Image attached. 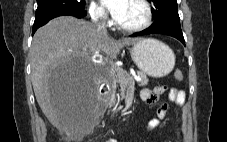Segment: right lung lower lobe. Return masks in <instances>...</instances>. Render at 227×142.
I'll list each match as a JSON object with an SVG mask.
<instances>
[{
	"label": "right lung lower lobe",
	"mask_w": 227,
	"mask_h": 142,
	"mask_svg": "<svg viewBox=\"0 0 227 142\" xmlns=\"http://www.w3.org/2000/svg\"><path fill=\"white\" fill-rule=\"evenodd\" d=\"M66 15L74 16L77 18H83L86 15V11L85 10H59V11H53V12L35 16L32 35L39 27L46 24L49 20L55 17L66 16Z\"/></svg>",
	"instance_id": "98d812e1"
}]
</instances>
